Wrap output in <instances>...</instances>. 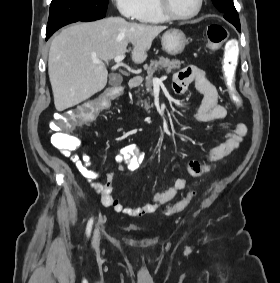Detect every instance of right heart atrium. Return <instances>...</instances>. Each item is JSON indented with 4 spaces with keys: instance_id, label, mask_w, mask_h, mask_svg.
Segmentation results:
<instances>
[{
    "instance_id": "d8ad5b80",
    "label": "right heart atrium",
    "mask_w": 280,
    "mask_h": 283,
    "mask_svg": "<svg viewBox=\"0 0 280 283\" xmlns=\"http://www.w3.org/2000/svg\"><path fill=\"white\" fill-rule=\"evenodd\" d=\"M120 14L129 20L138 19L142 9L143 0H113Z\"/></svg>"
}]
</instances>
